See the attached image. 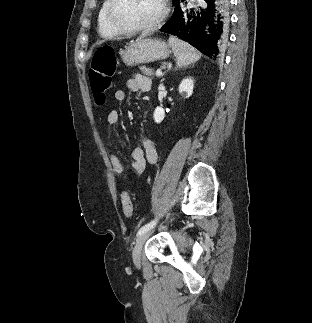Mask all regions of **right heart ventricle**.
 Segmentation results:
<instances>
[{"instance_id": "obj_1", "label": "right heart ventricle", "mask_w": 312, "mask_h": 323, "mask_svg": "<svg viewBox=\"0 0 312 323\" xmlns=\"http://www.w3.org/2000/svg\"><path fill=\"white\" fill-rule=\"evenodd\" d=\"M110 5H97L95 13H93V20H95L96 33H115L118 29V22H113L110 14Z\"/></svg>"}]
</instances>
